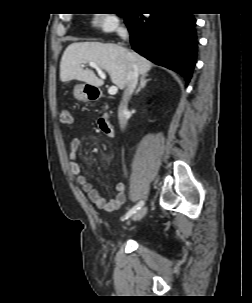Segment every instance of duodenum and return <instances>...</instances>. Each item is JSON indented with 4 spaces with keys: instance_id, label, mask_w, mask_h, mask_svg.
I'll return each instance as SVG.
<instances>
[{
    "instance_id": "obj_1",
    "label": "duodenum",
    "mask_w": 252,
    "mask_h": 303,
    "mask_svg": "<svg viewBox=\"0 0 252 303\" xmlns=\"http://www.w3.org/2000/svg\"><path fill=\"white\" fill-rule=\"evenodd\" d=\"M86 94L89 99L94 100L101 97L99 92L93 91L92 89H86ZM99 127L105 136L112 139L115 135L113 125L107 120L106 117H102L99 121Z\"/></svg>"
}]
</instances>
